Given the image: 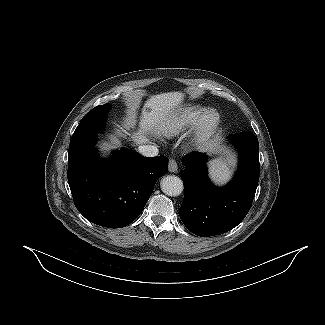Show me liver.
<instances>
[{
	"label": "liver",
	"instance_id": "liver-1",
	"mask_svg": "<svg viewBox=\"0 0 325 325\" xmlns=\"http://www.w3.org/2000/svg\"><path fill=\"white\" fill-rule=\"evenodd\" d=\"M184 99L182 92H168L154 95L144 104L139 122V130L132 135L136 145L149 142L148 135L159 136L181 110ZM148 109V110H147ZM128 122L133 121L130 115ZM114 142H117L114 140Z\"/></svg>",
	"mask_w": 325,
	"mask_h": 325
}]
</instances>
